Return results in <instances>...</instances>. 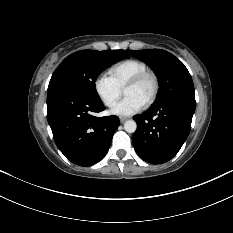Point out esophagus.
<instances>
[{"label": "esophagus", "mask_w": 233, "mask_h": 233, "mask_svg": "<svg viewBox=\"0 0 233 233\" xmlns=\"http://www.w3.org/2000/svg\"><path fill=\"white\" fill-rule=\"evenodd\" d=\"M119 120H120V123H124V122L127 120V118H125V117H120Z\"/></svg>", "instance_id": "34e87169"}]
</instances>
